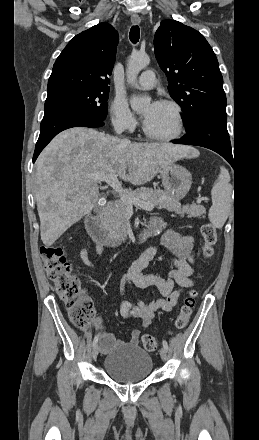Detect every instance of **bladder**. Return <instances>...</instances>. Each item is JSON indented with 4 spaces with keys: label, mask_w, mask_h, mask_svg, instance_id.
Instances as JSON below:
<instances>
[{
    "label": "bladder",
    "mask_w": 259,
    "mask_h": 440,
    "mask_svg": "<svg viewBox=\"0 0 259 440\" xmlns=\"http://www.w3.org/2000/svg\"><path fill=\"white\" fill-rule=\"evenodd\" d=\"M104 371L116 382L123 384L145 380L152 372L151 355L137 345H120L104 359Z\"/></svg>",
    "instance_id": "obj_1"
}]
</instances>
